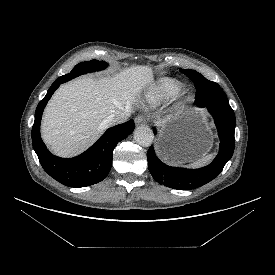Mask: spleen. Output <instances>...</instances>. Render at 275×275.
Masks as SVG:
<instances>
[{
  "label": "spleen",
  "instance_id": "obj_1",
  "mask_svg": "<svg viewBox=\"0 0 275 275\" xmlns=\"http://www.w3.org/2000/svg\"><path fill=\"white\" fill-rule=\"evenodd\" d=\"M212 157H213V154H209V155L203 156L202 158L198 159L197 161L191 163L190 166H192V167L203 166V165L207 164L208 162H210V160L212 159Z\"/></svg>",
  "mask_w": 275,
  "mask_h": 275
}]
</instances>
